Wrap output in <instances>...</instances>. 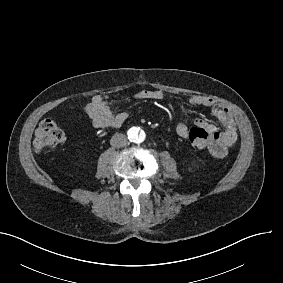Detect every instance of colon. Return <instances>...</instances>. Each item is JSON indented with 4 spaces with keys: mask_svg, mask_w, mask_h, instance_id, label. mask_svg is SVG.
<instances>
[{
    "mask_svg": "<svg viewBox=\"0 0 283 283\" xmlns=\"http://www.w3.org/2000/svg\"><path fill=\"white\" fill-rule=\"evenodd\" d=\"M213 132L205 127H193L190 130L192 146L207 151L212 144ZM65 140V133L56 118H47L40 122L35 134L33 147L37 151H46Z\"/></svg>",
    "mask_w": 283,
    "mask_h": 283,
    "instance_id": "5ec220e1",
    "label": "colon"
}]
</instances>
